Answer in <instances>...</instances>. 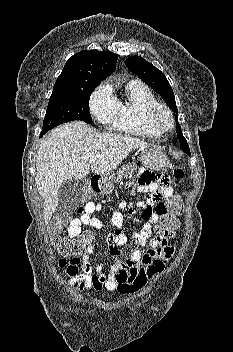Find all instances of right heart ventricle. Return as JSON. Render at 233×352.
Instances as JSON below:
<instances>
[{"instance_id": "obj_1", "label": "right heart ventricle", "mask_w": 233, "mask_h": 352, "mask_svg": "<svg viewBox=\"0 0 233 352\" xmlns=\"http://www.w3.org/2000/svg\"><path fill=\"white\" fill-rule=\"evenodd\" d=\"M157 102L151 90L139 81L126 86V99L119 102L116 130L139 137L155 136L145 125L146 109Z\"/></svg>"}]
</instances>
